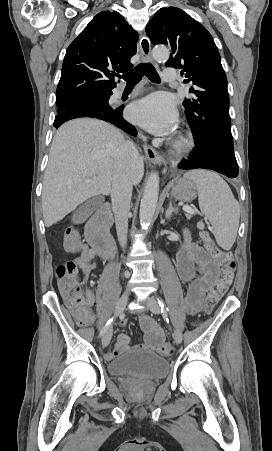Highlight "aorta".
<instances>
[{"instance_id": "obj_1", "label": "aorta", "mask_w": 272, "mask_h": 451, "mask_svg": "<svg viewBox=\"0 0 272 451\" xmlns=\"http://www.w3.org/2000/svg\"><path fill=\"white\" fill-rule=\"evenodd\" d=\"M152 56L154 60H158V62H163V60H168L169 58V50L168 48H153ZM159 196V176L157 172H151L147 184L144 188L141 204H140V222L142 226L148 227L150 226Z\"/></svg>"}]
</instances>
